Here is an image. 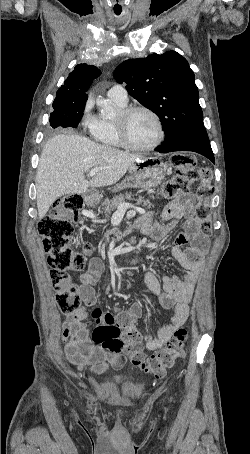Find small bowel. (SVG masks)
I'll return each mask as SVG.
<instances>
[{"mask_svg":"<svg viewBox=\"0 0 250 454\" xmlns=\"http://www.w3.org/2000/svg\"><path fill=\"white\" fill-rule=\"evenodd\" d=\"M192 205L193 196L186 193L166 205L162 211V223H154L148 219L138 224V228L143 234L150 236L155 241H160L180 219L185 220L184 232L177 236L175 245L171 248L172 256L185 269L184 276L180 278L163 275L159 281L152 272L145 274L147 287L156 295L160 305L174 311L170 321L158 330L157 335L146 339L145 347L149 351L162 348L188 317V303L193 295L202 268L203 257L208 249V237L199 230L198 222L191 213ZM185 244H189V246L182 249ZM103 271L101 260L92 258L86 271L80 276L78 292L87 308H93L97 304L94 285L102 276ZM124 314L138 319L143 314V307L140 303H134L129 310H117L116 318H120ZM89 316L90 312L82 307L75 313L69 314L64 321L61 340L67 360L76 369H86L93 375H99L109 367L121 368L124 358L120 354L111 353L92 343L90 327L85 323Z\"/></svg>","mask_w":250,"mask_h":454,"instance_id":"c3829d8e","label":"small bowel"}]
</instances>
